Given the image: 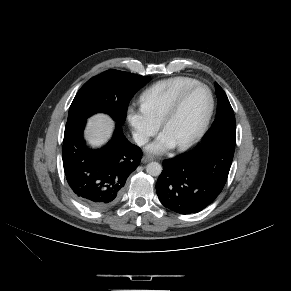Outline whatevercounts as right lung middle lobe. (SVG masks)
<instances>
[{"label":"right lung middle lobe","mask_w":291,"mask_h":291,"mask_svg":"<svg viewBox=\"0 0 291 291\" xmlns=\"http://www.w3.org/2000/svg\"><path fill=\"white\" fill-rule=\"evenodd\" d=\"M150 77L118 70L105 71L88 80L76 94L68 113V120L86 119L94 113H108L123 124L127 107L134 94Z\"/></svg>","instance_id":"dd1d6c3e"}]
</instances>
